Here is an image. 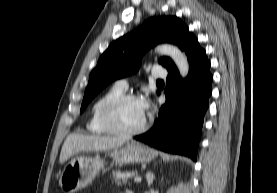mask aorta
<instances>
[{"label":"aorta","mask_w":277,"mask_h":193,"mask_svg":"<svg viewBox=\"0 0 277 193\" xmlns=\"http://www.w3.org/2000/svg\"><path fill=\"white\" fill-rule=\"evenodd\" d=\"M155 50L162 55L170 56L182 77H186L188 75L189 63L187 57L178 47L170 44H161L158 45Z\"/></svg>","instance_id":"762f6f07"}]
</instances>
